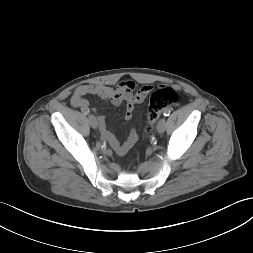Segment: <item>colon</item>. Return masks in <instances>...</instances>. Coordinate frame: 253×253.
<instances>
[{
	"mask_svg": "<svg viewBox=\"0 0 253 253\" xmlns=\"http://www.w3.org/2000/svg\"><path fill=\"white\" fill-rule=\"evenodd\" d=\"M178 99L177 91L172 87H158L152 93L150 97L148 113H147V125L145 132L149 133L155 121L158 119L160 113L171 107L176 103Z\"/></svg>",
	"mask_w": 253,
	"mask_h": 253,
	"instance_id": "5ec220e1",
	"label": "colon"
}]
</instances>
